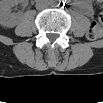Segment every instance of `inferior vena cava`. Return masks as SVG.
<instances>
[{"instance_id": "1", "label": "inferior vena cava", "mask_w": 103, "mask_h": 103, "mask_svg": "<svg viewBox=\"0 0 103 103\" xmlns=\"http://www.w3.org/2000/svg\"><path fill=\"white\" fill-rule=\"evenodd\" d=\"M49 7V2L46 0H38L36 2V9L37 10H44L47 9Z\"/></svg>"}]
</instances>
